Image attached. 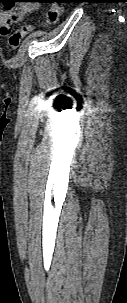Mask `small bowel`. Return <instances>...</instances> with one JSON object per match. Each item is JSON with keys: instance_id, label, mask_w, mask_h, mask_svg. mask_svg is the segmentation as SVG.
<instances>
[{"instance_id": "obj_1", "label": "small bowel", "mask_w": 127, "mask_h": 303, "mask_svg": "<svg viewBox=\"0 0 127 303\" xmlns=\"http://www.w3.org/2000/svg\"><path fill=\"white\" fill-rule=\"evenodd\" d=\"M23 2L9 9L0 10V33L7 36L10 33L11 25L21 20L25 15L34 13L38 10L37 0H22Z\"/></svg>"}]
</instances>
